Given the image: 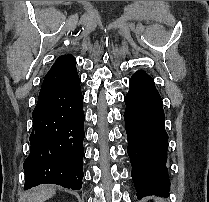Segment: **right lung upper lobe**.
I'll return each mask as SVG.
<instances>
[{
	"instance_id": "1",
	"label": "right lung upper lobe",
	"mask_w": 209,
	"mask_h": 202,
	"mask_svg": "<svg viewBox=\"0 0 209 202\" xmlns=\"http://www.w3.org/2000/svg\"><path fill=\"white\" fill-rule=\"evenodd\" d=\"M62 58L65 59V60L70 61L72 66L74 67V69H76V60L72 55H70V54L63 55Z\"/></svg>"
}]
</instances>
